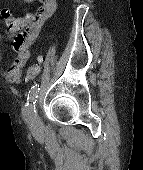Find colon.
<instances>
[{"mask_svg": "<svg viewBox=\"0 0 143 170\" xmlns=\"http://www.w3.org/2000/svg\"><path fill=\"white\" fill-rule=\"evenodd\" d=\"M3 15H4V17L9 21L8 23H9L10 26H12V27H18V26H20L17 22L10 20V16H9L8 13H5V14H3ZM41 63H42V58L39 57V58L37 59V62L34 63V64H32V65L29 67V69H28V71H27V76H26V80H27V81L33 80V79L40 73Z\"/></svg>", "mask_w": 143, "mask_h": 170, "instance_id": "obj_1", "label": "colon"}]
</instances>
